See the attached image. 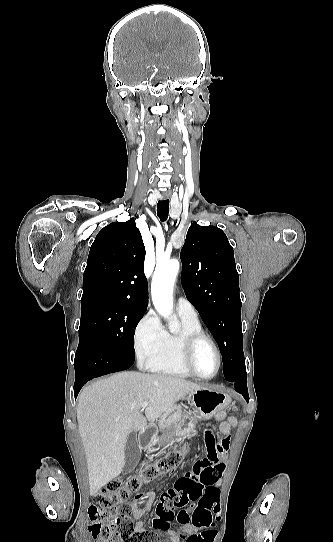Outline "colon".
Returning <instances> with one entry per match:
<instances>
[{
  "mask_svg": "<svg viewBox=\"0 0 333 542\" xmlns=\"http://www.w3.org/2000/svg\"><path fill=\"white\" fill-rule=\"evenodd\" d=\"M189 449L188 445L184 450H172L156 462L144 465L137 474L110 480L97 493L89 508V530L92 537L101 541L117 540L119 533L116 527L121 525L122 542H162V536L157 539L155 531L134 532V526L129 522L132 517L131 506L127 502L136 496L141 487L158 476L174 472ZM224 468L225 465L216 463L214 458L195 462L192 472L184 473L185 479H179L172 484L171 489L163 490V497L152 517L153 527L167 531L175 522V514L178 516V524L182 526L215 525L220 520L219 509L215 505L218 491L211 482L218 479ZM169 500H177L173 502L172 508ZM197 501L200 505H195ZM186 504L190 506L184 507ZM211 534L205 533L202 540L207 542ZM195 540L199 541L200 537H195Z\"/></svg>",
  "mask_w": 333,
  "mask_h": 542,
  "instance_id": "1",
  "label": "colon"
}]
</instances>
